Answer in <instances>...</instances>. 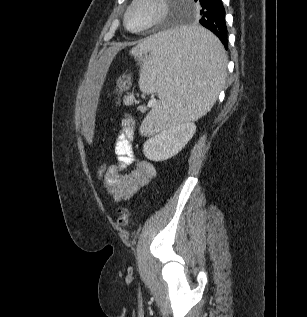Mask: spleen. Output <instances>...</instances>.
Wrapping results in <instances>:
<instances>
[{
    "mask_svg": "<svg viewBox=\"0 0 307 317\" xmlns=\"http://www.w3.org/2000/svg\"><path fill=\"white\" fill-rule=\"evenodd\" d=\"M131 54L141 63L140 89L159 96L141 125L144 135L203 117L225 83V50L206 26H175L149 33Z\"/></svg>",
    "mask_w": 307,
    "mask_h": 317,
    "instance_id": "1",
    "label": "spleen"
}]
</instances>
